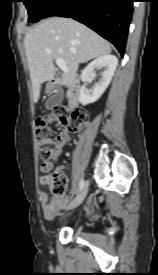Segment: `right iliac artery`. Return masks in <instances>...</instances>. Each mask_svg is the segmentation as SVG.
Wrapping results in <instances>:
<instances>
[{
    "label": "right iliac artery",
    "mask_w": 158,
    "mask_h": 275,
    "mask_svg": "<svg viewBox=\"0 0 158 275\" xmlns=\"http://www.w3.org/2000/svg\"><path fill=\"white\" fill-rule=\"evenodd\" d=\"M84 184H85L84 180L81 179L80 182H79V188H80V190H82L84 188Z\"/></svg>",
    "instance_id": "82829eb1"
}]
</instances>
